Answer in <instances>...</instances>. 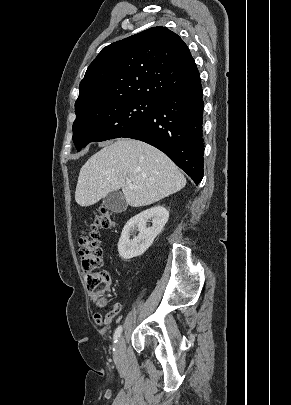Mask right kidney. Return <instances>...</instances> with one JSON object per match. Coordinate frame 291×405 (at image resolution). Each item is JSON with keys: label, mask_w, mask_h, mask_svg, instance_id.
<instances>
[{"label": "right kidney", "mask_w": 291, "mask_h": 405, "mask_svg": "<svg viewBox=\"0 0 291 405\" xmlns=\"http://www.w3.org/2000/svg\"><path fill=\"white\" fill-rule=\"evenodd\" d=\"M168 218L169 212L163 206L152 207L131 218L124 226L118 242L119 255L125 260L142 255L162 231ZM148 220H152L151 227L146 225ZM135 230L139 232L138 236L130 239V233Z\"/></svg>", "instance_id": "ca27d5eb"}]
</instances>
